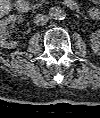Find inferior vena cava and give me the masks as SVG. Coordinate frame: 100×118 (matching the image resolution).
<instances>
[{
    "instance_id": "1",
    "label": "inferior vena cava",
    "mask_w": 100,
    "mask_h": 118,
    "mask_svg": "<svg viewBox=\"0 0 100 118\" xmlns=\"http://www.w3.org/2000/svg\"><path fill=\"white\" fill-rule=\"evenodd\" d=\"M48 22V17L44 14H37L35 17H34V23L37 25V26H44L46 25Z\"/></svg>"
}]
</instances>
